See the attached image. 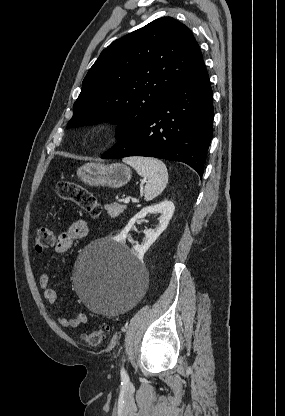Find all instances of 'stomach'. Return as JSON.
<instances>
[{"label": "stomach", "instance_id": "1", "mask_svg": "<svg viewBox=\"0 0 285 416\" xmlns=\"http://www.w3.org/2000/svg\"><path fill=\"white\" fill-rule=\"evenodd\" d=\"M79 180L88 186H109L122 188L131 180V170L124 164H84L77 170Z\"/></svg>", "mask_w": 285, "mask_h": 416}]
</instances>
